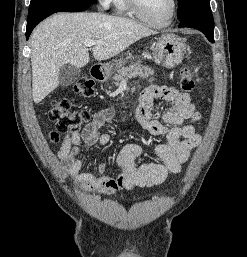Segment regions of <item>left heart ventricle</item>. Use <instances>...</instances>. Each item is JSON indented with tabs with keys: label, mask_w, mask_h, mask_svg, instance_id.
Listing matches in <instances>:
<instances>
[{
	"label": "left heart ventricle",
	"mask_w": 247,
	"mask_h": 257,
	"mask_svg": "<svg viewBox=\"0 0 247 257\" xmlns=\"http://www.w3.org/2000/svg\"><path fill=\"white\" fill-rule=\"evenodd\" d=\"M143 13L154 22H164L170 16L172 0H139Z\"/></svg>",
	"instance_id": "1"
}]
</instances>
